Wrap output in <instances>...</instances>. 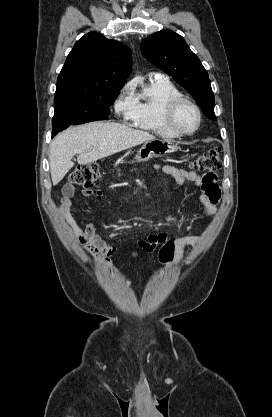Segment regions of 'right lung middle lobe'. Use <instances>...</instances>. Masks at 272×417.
<instances>
[{
	"label": "right lung middle lobe",
	"mask_w": 272,
	"mask_h": 417,
	"mask_svg": "<svg viewBox=\"0 0 272 417\" xmlns=\"http://www.w3.org/2000/svg\"><path fill=\"white\" fill-rule=\"evenodd\" d=\"M120 89L55 97L52 137L72 124L108 120L110 106L116 99Z\"/></svg>",
	"instance_id": "1"
}]
</instances>
